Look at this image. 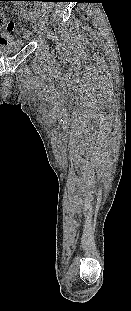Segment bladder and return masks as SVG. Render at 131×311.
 <instances>
[{
	"label": "bladder",
	"instance_id": "obj_1",
	"mask_svg": "<svg viewBox=\"0 0 131 311\" xmlns=\"http://www.w3.org/2000/svg\"><path fill=\"white\" fill-rule=\"evenodd\" d=\"M26 45L25 41L12 39L8 42H0V56H7L18 52Z\"/></svg>",
	"mask_w": 131,
	"mask_h": 311
}]
</instances>
